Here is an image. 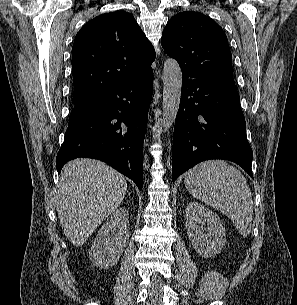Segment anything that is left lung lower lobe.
Returning a JSON list of instances; mask_svg holds the SVG:
<instances>
[{
  "label": "left lung lower lobe",
  "instance_id": "1",
  "mask_svg": "<svg viewBox=\"0 0 297 305\" xmlns=\"http://www.w3.org/2000/svg\"><path fill=\"white\" fill-rule=\"evenodd\" d=\"M182 75L173 134L172 180L209 159L235 162L253 178V152L233 77L196 78L184 71Z\"/></svg>",
  "mask_w": 297,
  "mask_h": 305
}]
</instances>
